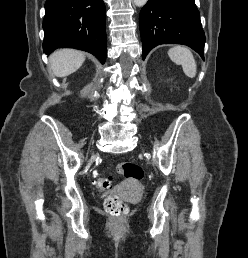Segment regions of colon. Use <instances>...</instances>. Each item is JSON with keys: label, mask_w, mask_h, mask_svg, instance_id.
I'll use <instances>...</instances> for the list:
<instances>
[{"label": "colon", "mask_w": 248, "mask_h": 258, "mask_svg": "<svg viewBox=\"0 0 248 258\" xmlns=\"http://www.w3.org/2000/svg\"><path fill=\"white\" fill-rule=\"evenodd\" d=\"M117 172L128 179L139 181L144 176L143 168L134 162H121L117 165ZM93 181L97 188L101 190H111L112 179L102 177L98 173H94ZM106 211L114 217H121L126 214L127 204L116 195H110L105 200Z\"/></svg>", "instance_id": "obj_1"}]
</instances>
